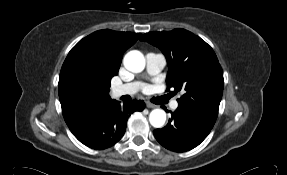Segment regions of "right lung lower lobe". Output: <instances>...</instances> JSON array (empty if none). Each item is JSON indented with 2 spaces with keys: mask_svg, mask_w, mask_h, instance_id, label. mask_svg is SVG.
Returning <instances> with one entry per match:
<instances>
[{
  "mask_svg": "<svg viewBox=\"0 0 287 175\" xmlns=\"http://www.w3.org/2000/svg\"><path fill=\"white\" fill-rule=\"evenodd\" d=\"M144 108L145 103L141 100H132L121 105L110 99L66 123L81 143L92 149L102 150L117 143L125 133L130 114Z\"/></svg>",
  "mask_w": 287,
  "mask_h": 175,
  "instance_id": "obj_1",
  "label": "right lung lower lobe"
}]
</instances>
